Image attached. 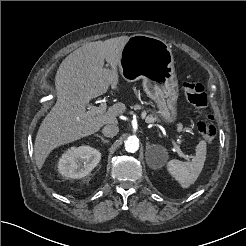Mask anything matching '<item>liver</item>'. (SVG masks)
I'll return each instance as SVG.
<instances>
[{
  "label": "liver",
  "instance_id": "liver-1",
  "mask_svg": "<svg viewBox=\"0 0 246 246\" xmlns=\"http://www.w3.org/2000/svg\"><path fill=\"white\" fill-rule=\"evenodd\" d=\"M128 36L90 42L70 53L60 64L55 87L57 102L43 119L34 144V158L41 169L50 152L67 143L89 136L103 125H117V116L126 110L118 102L104 114L86 110L92 98L118 90L121 51ZM110 68H104V62Z\"/></svg>",
  "mask_w": 246,
  "mask_h": 246
}]
</instances>
